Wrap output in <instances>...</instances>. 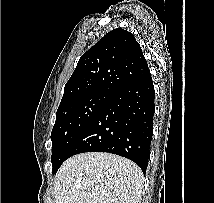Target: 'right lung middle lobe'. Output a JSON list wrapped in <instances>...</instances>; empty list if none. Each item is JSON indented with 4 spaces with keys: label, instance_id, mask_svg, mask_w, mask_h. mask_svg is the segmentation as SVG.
<instances>
[{
    "label": "right lung middle lobe",
    "instance_id": "right-lung-middle-lobe-1",
    "mask_svg": "<svg viewBox=\"0 0 214 203\" xmlns=\"http://www.w3.org/2000/svg\"><path fill=\"white\" fill-rule=\"evenodd\" d=\"M109 97L110 95L105 93H92L58 107L51 132L53 174L68 158L74 143L91 125Z\"/></svg>",
    "mask_w": 214,
    "mask_h": 203
}]
</instances>
